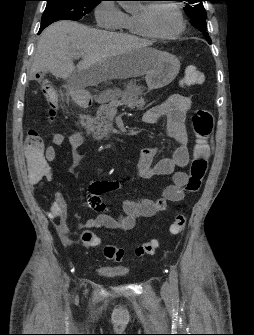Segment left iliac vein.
<instances>
[{
	"label": "left iliac vein",
	"instance_id": "4c4485c4",
	"mask_svg": "<svg viewBox=\"0 0 254 335\" xmlns=\"http://www.w3.org/2000/svg\"><path fill=\"white\" fill-rule=\"evenodd\" d=\"M161 292L164 296H168L170 293V286L167 282L163 283Z\"/></svg>",
	"mask_w": 254,
	"mask_h": 335
}]
</instances>
